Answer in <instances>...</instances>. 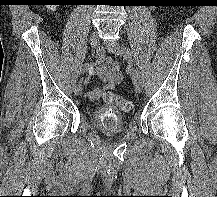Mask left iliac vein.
I'll return each instance as SVG.
<instances>
[{
    "instance_id": "4c4485c4",
    "label": "left iliac vein",
    "mask_w": 217,
    "mask_h": 197,
    "mask_svg": "<svg viewBox=\"0 0 217 197\" xmlns=\"http://www.w3.org/2000/svg\"><path fill=\"white\" fill-rule=\"evenodd\" d=\"M106 48L111 54H114L115 56L121 57L124 55L123 51L120 48L119 43H117V42L106 43ZM128 73L132 77L133 85L135 87L136 92L140 93L143 89V83H142V79H141V76H140L138 70H136L134 67L130 66L128 68Z\"/></svg>"
}]
</instances>
